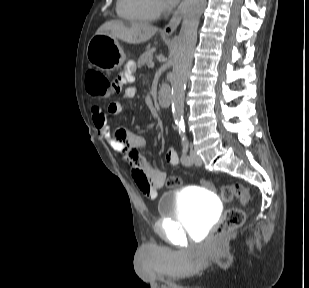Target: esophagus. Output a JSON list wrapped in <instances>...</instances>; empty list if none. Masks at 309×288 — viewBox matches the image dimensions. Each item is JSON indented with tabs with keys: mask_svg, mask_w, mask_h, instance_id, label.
Instances as JSON below:
<instances>
[{
	"mask_svg": "<svg viewBox=\"0 0 309 288\" xmlns=\"http://www.w3.org/2000/svg\"><path fill=\"white\" fill-rule=\"evenodd\" d=\"M186 4L187 0H182L169 23L162 30L165 35H172L176 31L182 20Z\"/></svg>",
	"mask_w": 309,
	"mask_h": 288,
	"instance_id": "34e87169",
	"label": "esophagus"
}]
</instances>
